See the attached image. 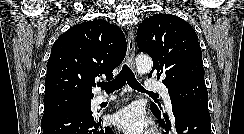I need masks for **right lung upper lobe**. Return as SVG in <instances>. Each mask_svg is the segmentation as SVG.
<instances>
[{"label":"right lung upper lobe","mask_w":244,"mask_h":134,"mask_svg":"<svg viewBox=\"0 0 244 134\" xmlns=\"http://www.w3.org/2000/svg\"><path fill=\"white\" fill-rule=\"evenodd\" d=\"M123 32L105 20L77 24L54 43L47 63L45 100L58 97L93 98L92 87L112 71L126 55Z\"/></svg>","instance_id":"1"}]
</instances>
